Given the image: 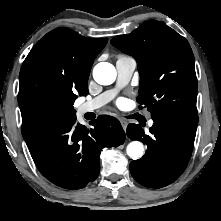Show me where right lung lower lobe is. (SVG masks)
<instances>
[{"label": "right lung lower lobe", "mask_w": 221, "mask_h": 221, "mask_svg": "<svg viewBox=\"0 0 221 221\" xmlns=\"http://www.w3.org/2000/svg\"><path fill=\"white\" fill-rule=\"evenodd\" d=\"M76 115L53 118L36 126L24 137L40 173L65 189H80L100 172V153L117 147L126 135L120 122L108 115L91 121V128L75 124Z\"/></svg>", "instance_id": "right-lung-lower-lobe-1"}]
</instances>
